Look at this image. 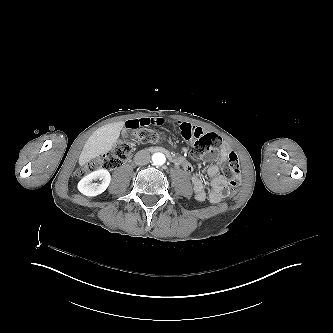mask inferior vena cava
<instances>
[{
	"mask_svg": "<svg viewBox=\"0 0 333 333\" xmlns=\"http://www.w3.org/2000/svg\"><path fill=\"white\" fill-rule=\"evenodd\" d=\"M151 161V155L145 149L140 150L134 157V163L138 166H143Z\"/></svg>",
	"mask_w": 333,
	"mask_h": 333,
	"instance_id": "obj_1",
	"label": "inferior vena cava"
}]
</instances>
